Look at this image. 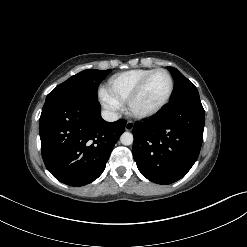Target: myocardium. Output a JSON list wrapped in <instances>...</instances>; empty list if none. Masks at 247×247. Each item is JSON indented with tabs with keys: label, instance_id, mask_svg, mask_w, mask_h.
Segmentation results:
<instances>
[{
	"label": "myocardium",
	"instance_id": "1",
	"mask_svg": "<svg viewBox=\"0 0 247 247\" xmlns=\"http://www.w3.org/2000/svg\"><path fill=\"white\" fill-rule=\"evenodd\" d=\"M156 73H164V74L167 75V77L169 79V83H170L167 95L165 96V98L162 100V102L160 104H158L156 107H154V108H152L150 110H146V111H138V110H136V108H135L136 101L138 100V98L143 93L144 88H145L146 84L148 83L149 79ZM173 91H174V80H173V77L170 74V72L167 71L166 69H163V68L154 69L150 73H148L139 82V84L136 86L134 91L129 96V98H128L127 102H126L128 110H129L130 114L133 115L136 118L144 119V118L152 117L155 114H157L158 112H160L168 104V102L170 101L171 96L173 94Z\"/></svg>",
	"mask_w": 247,
	"mask_h": 247
}]
</instances>
